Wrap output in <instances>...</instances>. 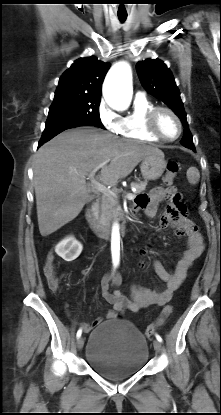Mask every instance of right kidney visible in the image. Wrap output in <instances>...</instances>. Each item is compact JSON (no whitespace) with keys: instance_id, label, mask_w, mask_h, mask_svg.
I'll return each instance as SVG.
<instances>
[{"instance_id":"ca27d5eb","label":"right kidney","mask_w":221,"mask_h":415,"mask_svg":"<svg viewBox=\"0 0 221 415\" xmlns=\"http://www.w3.org/2000/svg\"><path fill=\"white\" fill-rule=\"evenodd\" d=\"M83 246L73 236L63 239L55 248L58 256L67 262L75 260L82 252Z\"/></svg>"}]
</instances>
